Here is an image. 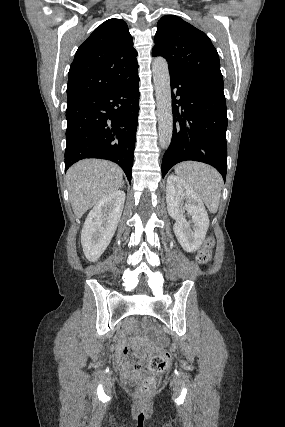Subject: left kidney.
I'll list each match as a JSON object with an SVG mask.
<instances>
[{
	"label": "left kidney",
	"mask_w": 285,
	"mask_h": 427,
	"mask_svg": "<svg viewBox=\"0 0 285 427\" xmlns=\"http://www.w3.org/2000/svg\"><path fill=\"white\" fill-rule=\"evenodd\" d=\"M166 202L169 215L176 221L173 230L180 245L186 252L196 251L209 227V217L202 200L183 179L171 174L167 178ZM185 210L191 221L186 220ZM190 223L193 224L192 229Z\"/></svg>",
	"instance_id": "left-kidney-1"
}]
</instances>
